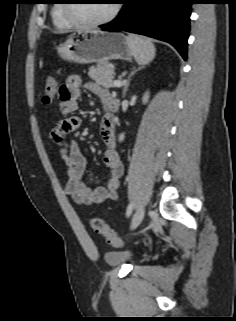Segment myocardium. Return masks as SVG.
Segmentation results:
<instances>
[{"instance_id":"f54148a6","label":"myocardium","mask_w":236,"mask_h":321,"mask_svg":"<svg viewBox=\"0 0 236 321\" xmlns=\"http://www.w3.org/2000/svg\"><path fill=\"white\" fill-rule=\"evenodd\" d=\"M67 3H64V14L68 20H70L74 25L80 27H99L110 23L119 13L120 11V3L116 1L113 4L111 12L103 19L96 20V21H86L83 19L78 18L74 12V6L76 3L71 2L72 0H65Z\"/></svg>"}]
</instances>
